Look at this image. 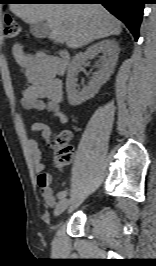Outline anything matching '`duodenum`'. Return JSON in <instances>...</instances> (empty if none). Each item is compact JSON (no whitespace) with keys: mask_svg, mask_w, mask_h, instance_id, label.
<instances>
[{"mask_svg":"<svg viewBox=\"0 0 156 266\" xmlns=\"http://www.w3.org/2000/svg\"><path fill=\"white\" fill-rule=\"evenodd\" d=\"M70 61V54L67 50H61L60 53H59V57L56 59V62H55V69H56V72L57 74H60L62 73L66 66L68 65Z\"/></svg>","mask_w":156,"mask_h":266,"instance_id":"obj_1","label":"duodenum"}]
</instances>
